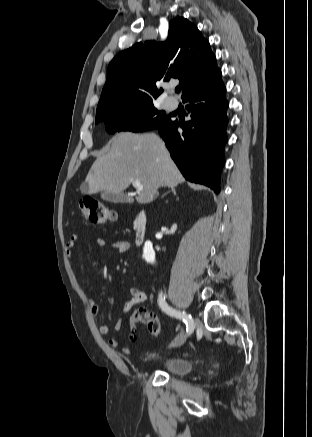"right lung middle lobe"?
Wrapping results in <instances>:
<instances>
[{"mask_svg": "<svg viewBox=\"0 0 312 437\" xmlns=\"http://www.w3.org/2000/svg\"><path fill=\"white\" fill-rule=\"evenodd\" d=\"M104 121L109 133L116 131L142 132L159 129L172 120L165 112L158 111L153 102L122 107L111 114L96 119L95 123Z\"/></svg>", "mask_w": 312, "mask_h": 437, "instance_id": "right-lung-middle-lobe-1", "label": "right lung middle lobe"}]
</instances>
